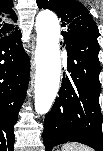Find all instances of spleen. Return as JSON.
<instances>
[{
    "instance_id": "3e777b00",
    "label": "spleen",
    "mask_w": 103,
    "mask_h": 151,
    "mask_svg": "<svg viewBox=\"0 0 103 151\" xmlns=\"http://www.w3.org/2000/svg\"><path fill=\"white\" fill-rule=\"evenodd\" d=\"M61 151H93V149L83 144L67 143L62 146Z\"/></svg>"
}]
</instances>
